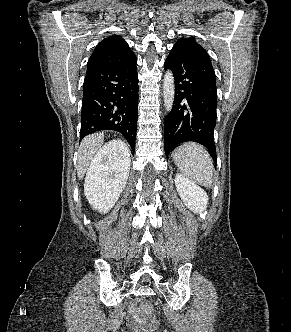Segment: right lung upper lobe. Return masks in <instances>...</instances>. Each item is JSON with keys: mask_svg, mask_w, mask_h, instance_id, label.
Wrapping results in <instances>:
<instances>
[{"mask_svg": "<svg viewBox=\"0 0 291 332\" xmlns=\"http://www.w3.org/2000/svg\"><path fill=\"white\" fill-rule=\"evenodd\" d=\"M135 54L121 36H111L102 40L94 49L87 70L123 63Z\"/></svg>", "mask_w": 291, "mask_h": 332, "instance_id": "1", "label": "right lung upper lobe"}]
</instances>
